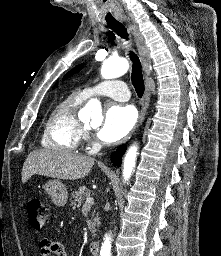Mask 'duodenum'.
I'll return each instance as SVG.
<instances>
[{"label": "duodenum", "mask_w": 221, "mask_h": 256, "mask_svg": "<svg viewBox=\"0 0 221 256\" xmlns=\"http://www.w3.org/2000/svg\"><path fill=\"white\" fill-rule=\"evenodd\" d=\"M89 249L92 256H99L100 244L98 241H91L89 244Z\"/></svg>", "instance_id": "410a0bca"}]
</instances>
